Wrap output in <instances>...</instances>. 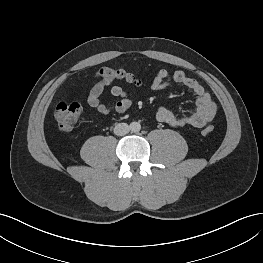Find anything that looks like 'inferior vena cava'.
<instances>
[{"mask_svg": "<svg viewBox=\"0 0 263 263\" xmlns=\"http://www.w3.org/2000/svg\"><path fill=\"white\" fill-rule=\"evenodd\" d=\"M130 127L128 126L127 123H117L114 128V133L117 136H124L127 133H129Z\"/></svg>", "mask_w": 263, "mask_h": 263, "instance_id": "inferior-vena-cava-1", "label": "inferior vena cava"}]
</instances>
